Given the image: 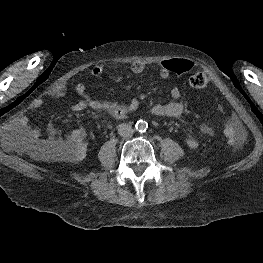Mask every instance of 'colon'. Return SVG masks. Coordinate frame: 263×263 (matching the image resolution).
I'll return each instance as SVG.
<instances>
[{
	"instance_id": "obj_1",
	"label": "colon",
	"mask_w": 263,
	"mask_h": 263,
	"mask_svg": "<svg viewBox=\"0 0 263 263\" xmlns=\"http://www.w3.org/2000/svg\"><path fill=\"white\" fill-rule=\"evenodd\" d=\"M166 65L173 73H186L187 66L183 59H170L166 61ZM189 83L193 88L202 89L210 83L209 77L203 72L193 74ZM203 133L209 135L210 129L208 125L203 127ZM225 137L230 144L239 147L245 141V133L242 127L234 122L228 121L224 129ZM52 153L57 156L67 157L70 159L80 158L84 153L83 142L66 141L62 146L55 148Z\"/></svg>"
}]
</instances>
